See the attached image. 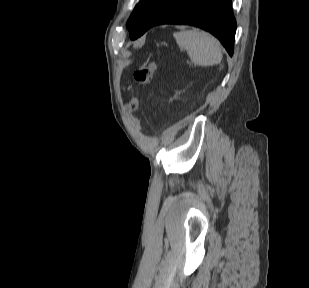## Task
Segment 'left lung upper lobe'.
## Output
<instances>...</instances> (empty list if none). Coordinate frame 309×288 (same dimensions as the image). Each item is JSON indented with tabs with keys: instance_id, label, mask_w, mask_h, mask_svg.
Masks as SVG:
<instances>
[{
	"instance_id": "obj_1",
	"label": "left lung upper lobe",
	"mask_w": 309,
	"mask_h": 288,
	"mask_svg": "<svg viewBox=\"0 0 309 288\" xmlns=\"http://www.w3.org/2000/svg\"><path fill=\"white\" fill-rule=\"evenodd\" d=\"M161 0H140L127 23L129 36L136 34Z\"/></svg>"
}]
</instances>
